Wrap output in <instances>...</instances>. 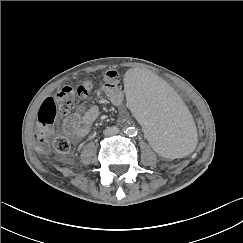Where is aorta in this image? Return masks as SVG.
I'll return each mask as SVG.
<instances>
[{"instance_id": "1", "label": "aorta", "mask_w": 243, "mask_h": 243, "mask_svg": "<svg viewBox=\"0 0 243 243\" xmlns=\"http://www.w3.org/2000/svg\"><path fill=\"white\" fill-rule=\"evenodd\" d=\"M126 133L127 134H133L134 133V129L131 128V127H128V128H126Z\"/></svg>"}]
</instances>
